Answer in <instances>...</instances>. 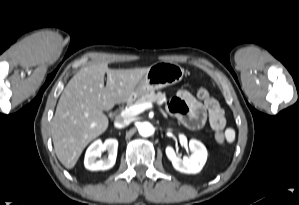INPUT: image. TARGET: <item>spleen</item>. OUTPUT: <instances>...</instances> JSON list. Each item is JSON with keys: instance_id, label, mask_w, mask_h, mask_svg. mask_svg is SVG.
Masks as SVG:
<instances>
[{"instance_id": "obj_1", "label": "spleen", "mask_w": 299, "mask_h": 205, "mask_svg": "<svg viewBox=\"0 0 299 205\" xmlns=\"http://www.w3.org/2000/svg\"><path fill=\"white\" fill-rule=\"evenodd\" d=\"M226 139L229 143H232L235 140V131L232 128H228L225 131Z\"/></svg>"}]
</instances>
